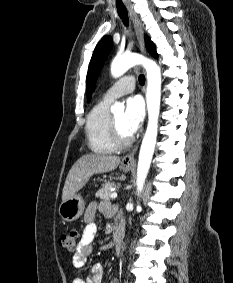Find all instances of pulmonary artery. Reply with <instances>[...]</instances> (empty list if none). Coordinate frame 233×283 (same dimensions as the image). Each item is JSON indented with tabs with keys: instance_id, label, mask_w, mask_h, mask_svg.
I'll return each instance as SVG.
<instances>
[{
	"instance_id": "obj_1",
	"label": "pulmonary artery",
	"mask_w": 233,
	"mask_h": 283,
	"mask_svg": "<svg viewBox=\"0 0 233 283\" xmlns=\"http://www.w3.org/2000/svg\"><path fill=\"white\" fill-rule=\"evenodd\" d=\"M135 88V79L133 76H124L114 85H112L103 95L106 101H113L125 94L132 92Z\"/></svg>"
}]
</instances>
